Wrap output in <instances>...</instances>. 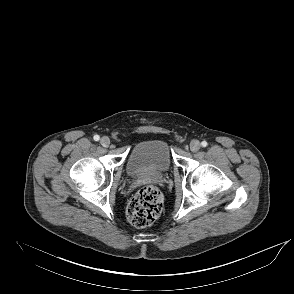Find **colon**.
I'll use <instances>...</instances> for the list:
<instances>
[{
	"instance_id": "obj_1",
	"label": "colon",
	"mask_w": 294,
	"mask_h": 294,
	"mask_svg": "<svg viewBox=\"0 0 294 294\" xmlns=\"http://www.w3.org/2000/svg\"><path fill=\"white\" fill-rule=\"evenodd\" d=\"M162 206L163 197L156 187H142L127 207V218L135 227L149 226L159 217Z\"/></svg>"
}]
</instances>
